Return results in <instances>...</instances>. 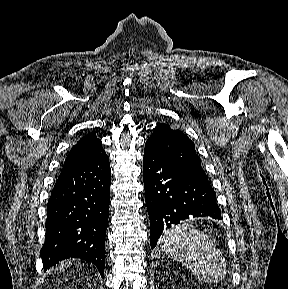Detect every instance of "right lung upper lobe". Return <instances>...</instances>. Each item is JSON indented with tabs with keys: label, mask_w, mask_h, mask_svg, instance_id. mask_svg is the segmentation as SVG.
I'll use <instances>...</instances> for the list:
<instances>
[{
	"label": "right lung upper lobe",
	"mask_w": 288,
	"mask_h": 289,
	"mask_svg": "<svg viewBox=\"0 0 288 289\" xmlns=\"http://www.w3.org/2000/svg\"><path fill=\"white\" fill-rule=\"evenodd\" d=\"M103 152L105 151L102 148L101 140H99L94 134H88L73 146L67 155L64 164L86 160Z\"/></svg>",
	"instance_id": "1"
}]
</instances>
